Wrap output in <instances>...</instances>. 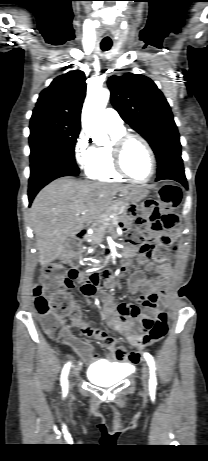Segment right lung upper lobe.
Masks as SVG:
<instances>
[{
    "label": "right lung upper lobe",
    "instance_id": "obj_1",
    "mask_svg": "<svg viewBox=\"0 0 208 461\" xmlns=\"http://www.w3.org/2000/svg\"><path fill=\"white\" fill-rule=\"evenodd\" d=\"M85 93V75L82 71H70L58 76L40 93L31 119H54L80 127Z\"/></svg>",
    "mask_w": 208,
    "mask_h": 461
}]
</instances>
